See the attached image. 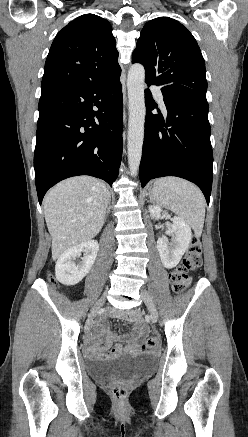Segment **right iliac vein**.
I'll list each match as a JSON object with an SVG mask.
<instances>
[{
    "mask_svg": "<svg viewBox=\"0 0 248 437\" xmlns=\"http://www.w3.org/2000/svg\"><path fill=\"white\" fill-rule=\"evenodd\" d=\"M104 302H105V297H102L100 300H99V302H98V304H97V307L93 310V313H96L97 312V310L104 304Z\"/></svg>",
    "mask_w": 248,
    "mask_h": 437,
    "instance_id": "right-iliac-vein-1",
    "label": "right iliac vein"
}]
</instances>
